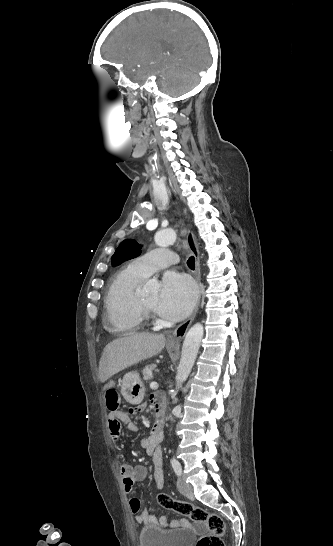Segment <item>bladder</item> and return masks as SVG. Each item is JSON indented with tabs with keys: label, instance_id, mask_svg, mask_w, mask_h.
Segmentation results:
<instances>
[{
	"label": "bladder",
	"instance_id": "bladder-1",
	"mask_svg": "<svg viewBox=\"0 0 333 546\" xmlns=\"http://www.w3.org/2000/svg\"><path fill=\"white\" fill-rule=\"evenodd\" d=\"M194 535L187 529L163 530L147 524L139 533L140 546H192Z\"/></svg>",
	"mask_w": 333,
	"mask_h": 546
}]
</instances>
